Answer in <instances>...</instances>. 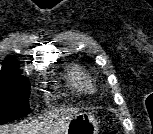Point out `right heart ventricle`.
<instances>
[{"instance_id":"e07e8e85","label":"right heart ventricle","mask_w":153,"mask_h":134,"mask_svg":"<svg viewBox=\"0 0 153 134\" xmlns=\"http://www.w3.org/2000/svg\"><path fill=\"white\" fill-rule=\"evenodd\" d=\"M68 88L80 94L92 93L95 89L91 74L78 64H73L65 74Z\"/></svg>"}]
</instances>
